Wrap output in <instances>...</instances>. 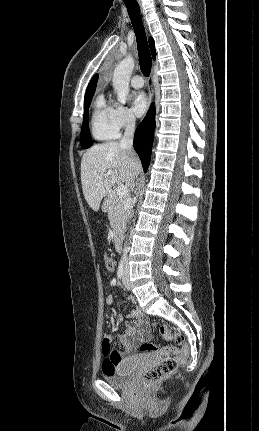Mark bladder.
Instances as JSON below:
<instances>
[{
	"instance_id": "obj_1",
	"label": "bladder",
	"mask_w": 259,
	"mask_h": 431,
	"mask_svg": "<svg viewBox=\"0 0 259 431\" xmlns=\"http://www.w3.org/2000/svg\"><path fill=\"white\" fill-rule=\"evenodd\" d=\"M138 368V363L135 361L121 364L112 372H104L102 378L112 386H124Z\"/></svg>"
}]
</instances>
